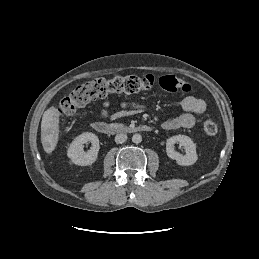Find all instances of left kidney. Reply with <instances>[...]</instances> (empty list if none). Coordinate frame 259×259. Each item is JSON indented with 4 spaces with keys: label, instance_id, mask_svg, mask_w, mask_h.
<instances>
[{
    "label": "left kidney",
    "instance_id": "left-kidney-1",
    "mask_svg": "<svg viewBox=\"0 0 259 259\" xmlns=\"http://www.w3.org/2000/svg\"><path fill=\"white\" fill-rule=\"evenodd\" d=\"M179 143L184 147L185 155L175 151L174 144ZM166 152L169 158L176 160L178 165L190 166L193 165L197 159L196 145L193 140L186 135H176L167 139Z\"/></svg>",
    "mask_w": 259,
    "mask_h": 259
}]
</instances>
